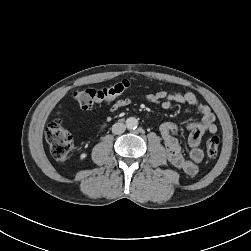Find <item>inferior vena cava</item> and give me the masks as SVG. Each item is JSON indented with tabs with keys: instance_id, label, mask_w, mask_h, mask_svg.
Wrapping results in <instances>:
<instances>
[{
	"instance_id": "602c4592",
	"label": "inferior vena cava",
	"mask_w": 251,
	"mask_h": 251,
	"mask_svg": "<svg viewBox=\"0 0 251 251\" xmlns=\"http://www.w3.org/2000/svg\"><path fill=\"white\" fill-rule=\"evenodd\" d=\"M126 130V125L123 123H115L112 126V133L113 134H122Z\"/></svg>"
}]
</instances>
